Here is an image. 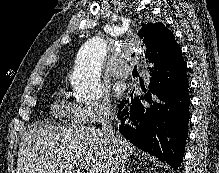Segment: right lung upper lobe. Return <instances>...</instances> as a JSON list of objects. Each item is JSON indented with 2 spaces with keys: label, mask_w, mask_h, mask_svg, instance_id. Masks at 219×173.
<instances>
[{
  "label": "right lung upper lobe",
  "mask_w": 219,
  "mask_h": 173,
  "mask_svg": "<svg viewBox=\"0 0 219 173\" xmlns=\"http://www.w3.org/2000/svg\"><path fill=\"white\" fill-rule=\"evenodd\" d=\"M139 36L146 47L145 57L151 59L154 55L179 56L181 48L174 39L173 33L162 23L143 25Z\"/></svg>",
  "instance_id": "obj_1"
}]
</instances>
